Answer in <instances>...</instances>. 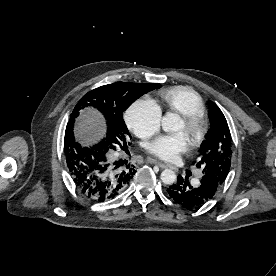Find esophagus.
I'll use <instances>...</instances> for the list:
<instances>
[{"label": "esophagus", "instance_id": "obj_1", "mask_svg": "<svg viewBox=\"0 0 276 276\" xmlns=\"http://www.w3.org/2000/svg\"><path fill=\"white\" fill-rule=\"evenodd\" d=\"M147 163L156 164V165H158V166H159L160 168H162V169L168 168V167L170 166L169 164H166V163H164V162L157 161V160L151 159V158L147 159Z\"/></svg>", "mask_w": 276, "mask_h": 276}]
</instances>
